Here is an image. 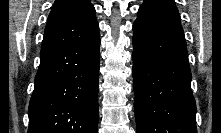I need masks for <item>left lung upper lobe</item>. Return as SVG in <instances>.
I'll list each match as a JSON object with an SVG mask.
<instances>
[{
	"instance_id": "obj_1",
	"label": "left lung upper lobe",
	"mask_w": 221,
	"mask_h": 133,
	"mask_svg": "<svg viewBox=\"0 0 221 133\" xmlns=\"http://www.w3.org/2000/svg\"><path fill=\"white\" fill-rule=\"evenodd\" d=\"M136 21L182 29L180 15L173 0H144Z\"/></svg>"
}]
</instances>
